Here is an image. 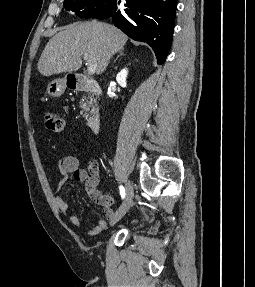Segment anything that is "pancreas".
Instances as JSON below:
<instances>
[{
    "label": "pancreas",
    "mask_w": 255,
    "mask_h": 287,
    "mask_svg": "<svg viewBox=\"0 0 255 287\" xmlns=\"http://www.w3.org/2000/svg\"><path fill=\"white\" fill-rule=\"evenodd\" d=\"M96 102H97V98H92L90 94H89V98H85V102H80V108H82V112H85V114H83L84 118H87L86 114H88V112H90V110L94 108Z\"/></svg>",
    "instance_id": "1"
}]
</instances>
